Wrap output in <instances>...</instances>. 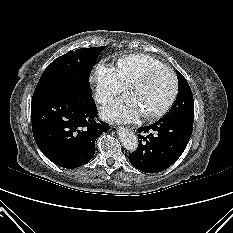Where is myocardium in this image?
Wrapping results in <instances>:
<instances>
[{
    "label": "myocardium",
    "mask_w": 233,
    "mask_h": 233,
    "mask_svg": "<svg viewBox=\"0 0 233 233\" xmlns=\"http://www.w3.org/2000/svg\"><path fill=\"white\" fill-rule=\"evenodd\" d=\"M159 70H165L171 74L172 81H173L172 90L169 95V98L167 99V101L161 108H159L158 110L152 113L142 114V116L148 120H153V119L162 117L164 114L168 112V110L173 105L176 99L177 93H178V79H177L176 73L174 72L173 69H171L170 67L166 65L152 66V67L145 69L143 72H141L128 85V90L131 91L132 88L143 83L152 73L159 71Z\"/></svg>",
    "instance_id": "myocardium-1"
}]
</instances>
